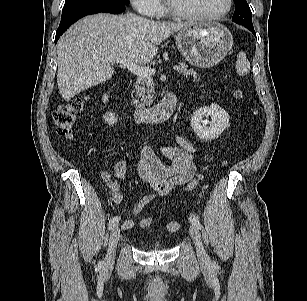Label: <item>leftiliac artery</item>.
I'll return each instance as SVG.
<instances>
[{
  "label": "left iliac artery",
  "instance_id": "44dca946",
  "mask_svg": "<svg viewBox=\"0 0 307 301\" xmlns=\"http://www.w3.org/2000/svg\"><path fill=\"white\" fill-rule=\"evenodd\" d=\"M189 221L192 225L196 226L198 229H201V223L198 220V218L194 217V216H190L189 217Z\"/></svg>",
  "mask_w": 307,
  "mask_h": 301
}]
</instances>
